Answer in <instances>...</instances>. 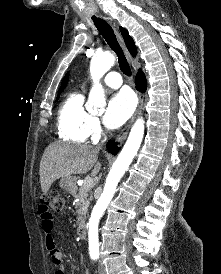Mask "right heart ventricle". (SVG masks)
<instances>
[{
    "label": "right heart ventricle",
    "mask_w": 221,
    "mask_h": 274,
    "mask_svg": "<svg viewBox=\"0 0 221 274\" xmlns=\"http://www.w3.org/2000/svg\"><path fill=\"white\" fill-rule=\"evenodd\" d=\"M91 114L84 108V95L70 93L61 103L57 116L59 137L67 142L84 143L90 136Z\"/></svg>",
    "instance_id": "1"
}]
</instances>
